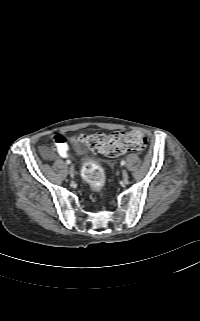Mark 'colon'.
Masks as SVG:
<instances>
[{
	"instance_id": "1",
	"label": "colon",
	"mask_w": 200,
	"mask_h": 321,
	"mask_svg": "<svg viewBox=\"0 0 200 321\" xmlns=\"http://www.w3.org/2000/svg\"><path fill=\"white\" fill-rule=\"evenodd\" d=\"M87 145L96 153L108 157H118L126 152H141L147 146L145 135L139 131L117 132L110 135L93 133L84 136ZM83 179L97 192L101 191L106 182L102 167L96 162L86 161L81 170Z\"/></svg>"
}]
</instances>
